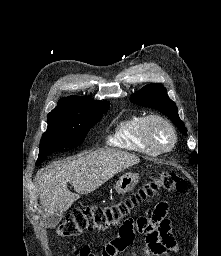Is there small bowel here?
I'll list each match as a JSON object with an SVG mask.
<instances>
[{"label":"small bowel","instance_id":"c3829d8e","mask_svg":"<svg viewBox=\"0 0 221 256\" xmlns=\"http://www.w3.org/2000/svg\"><path fill=\"white\" fill-rule=\"evenodd\" d=\"M167 213L168 204L160 202L137 221L131 219L129 227L120 229L118 236L97 253L93 247L84 246L78 256H122L126 249L130 250L131 256H170L177 252V245ZM136 232L145 235L144 244L135 241Z\"/></svg>","mask_w":221,"mask_h":256}]
</instances>
